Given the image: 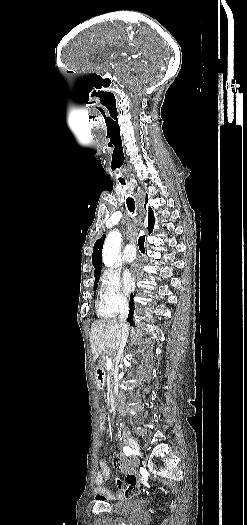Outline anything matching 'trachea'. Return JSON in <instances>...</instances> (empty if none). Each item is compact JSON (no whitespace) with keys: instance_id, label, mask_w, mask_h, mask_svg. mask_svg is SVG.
I'll return each instance as SVG.
<instances>
[{"instance_id":"1","label":"trachea","mask_w":247,"mask_h":525,"mask_svg":"<svg viewBox=\"0 0 247 525\" xmlns=\"http://www.w3.org/2000/svg\"><path fill=\"white\" fill-rule=\"evenodd\" d=\"M121 183L125 184L124 181H121ZM127 207L129 209L130 212H134L135 211V202H134V199L133 198H127ZM144 243H145V235H142L139 237V240H138V246H139V249L141 252H145V246H144Z\"/></svg>"}]
</instances>
